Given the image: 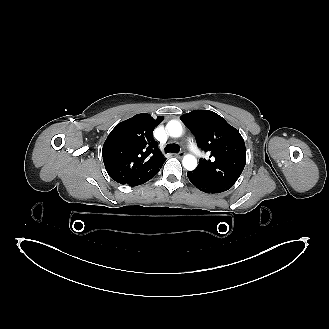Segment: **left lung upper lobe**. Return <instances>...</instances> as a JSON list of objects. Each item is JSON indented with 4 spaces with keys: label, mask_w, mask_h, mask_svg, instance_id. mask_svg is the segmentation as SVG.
Returning <instances> with one entry per match:
<instances>
[{
    "label": "left lung upper lobe",
    "mask_w": 329,
    "mask_h": 329,
    "mask_svg": "<svg viewBox=\"0 0 329 329\" xmlns=\"http://www.w3.org/2000/svg\"><path fill=\"white\" fill-rule=\"evenodd\" d=\"M181 119L194 133L197 145L210 153V159H200L191 172L225 191L230 189L246 164L245 143L239 131L209 110H194Z\"/></svg>",
    "instance_id": "1"
}]
</instances>
